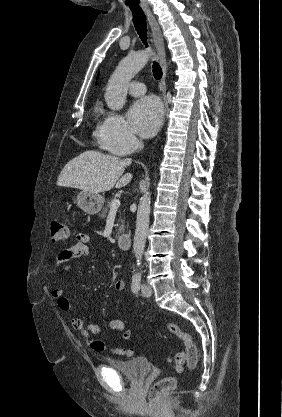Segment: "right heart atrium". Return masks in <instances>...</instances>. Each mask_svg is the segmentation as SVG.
Instances as JSON below:
<instances>
[{
    "label": "right heart atrium",
    "mask_w": 282,
    "mask_h": 417,
    "mask_svg": "<svg viewBox=\"0 0 282 417\" xmlns=\"http://www.w3.org/2000/svg\"><path fill=\"white\" fill-rule=\"evenodd\" d=\"M103 147L118 155H127L136 150L138 141L126 121L118 114L107 117L102 133Z\"/></svg>",
    "instance_id": "1"
}]
</instances>
